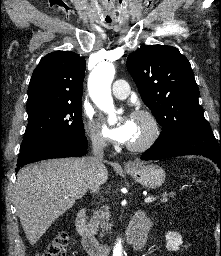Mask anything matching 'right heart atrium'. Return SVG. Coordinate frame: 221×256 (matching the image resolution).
Returning <instances> with one entry per match:
<instances>
[{
    "label": "right heart atrium",
    "mask_w": 221,
    "mask_h": 256,
    "mask_svg": "<svg viewBox=\"0 0 221 256\" xmlns=\"http://www.w3.org/2000/svg\"><path fill=\"white\" fill-rule=\"evenodd\" d=\"M87 117L89 120L88 131H89V136L92 143L99 147L104 146L106 143V140L103 133L97 128V126L92 121V115L88 114Z\"/></svg>",
    "instance_id": "1"
}]
</instances>
